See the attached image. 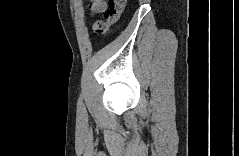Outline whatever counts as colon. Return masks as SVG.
<instances>
[{"label":"colon","mask_w":239,"mask_h":156,"mask_svg":"<svg viewBox=\"0 0 239 156\" xmlns=\"http://www.w3.org/2000/svg\"><path fill=\"white\" fill-rule=\"evenodd\" d=\"M126 0H109L108 7L104 12V21H97L93 25V33L104 35L109 27L115 24L124 10Z\"/></svg>","instance_id":"obj_1"}]
</instances>
